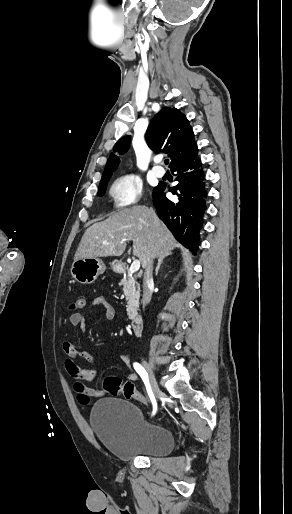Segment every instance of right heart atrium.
Wrapping results in <instances>:
<instances>
[{"instance_id": "right-heart-atrium-1", "label": "right heart atrium", "mask_w": 292, "mask_h": 514, "mask_svg": "<svg viewBox=\"0 0 292 514\" xmlns=\"http://www.w3.org/2000/svg\"><path fill=\"white\" fill-rule=\"evenodd\" d=\"M143 192V179L137 172L127 171L117 175L108 187L114 209H126L138 202Z\"/></svg>"}]
</instances>
